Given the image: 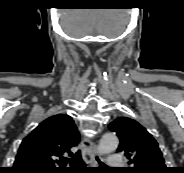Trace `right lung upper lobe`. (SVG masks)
Listing matches in <instances>:
<instances>
[{"instance_id":"cb5924a9","label":"right lung upper lobe","mask_w":184,"mask_h":173,"mask_svg":"<svg viewBox=\"0 0 184 173\" xmlns=\"http://www.w3.org/2000/svg\"><path fill=\"white\" fill-rule=\"evenodd\" d=\"M79 132L72 118L58 114L39 124L22 141L11 171L13 173H66L61 162L78 145ZM59 167H56V165Z\"/></svg>"}]
</instances>
